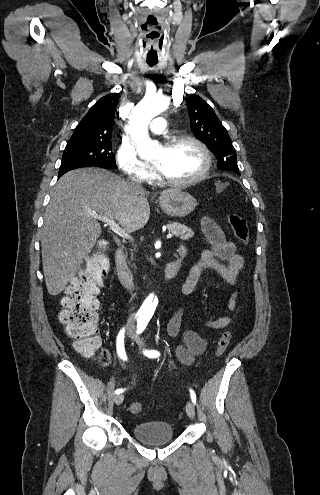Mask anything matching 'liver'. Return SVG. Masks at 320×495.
Masks as SVG:
<instances>
[{
	"instance_id": "6515ba94",
	"label": "liver",
	"mask_w": 320,
	"mask_h": 495,
	"mask_svg": "<svg viewBox=\"0 0 320 495\" xmlns=\"http://www.w3.org/2000/svg\"><path fill=\"white\" fill-rule=\"evenodd\" d=\"M93 212L114 219L130 233L147 224L150 206L144 190H132L107 170L83 168L61 176L46 207L41 234L43 273L50 295L64 290L99 238L101 226Z\"/></svg>"
}]
</instances>
